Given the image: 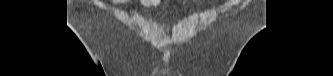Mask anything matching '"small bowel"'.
<instances>
[{
	"label": "small bowel",
	"instance_id": "small-bowel-1",
	"mask_svg": "<svg viewBox=\"0 0 333 76\" xmlns=\"http://www.w3.org/2000/svg\"><path fill=\"white\" fill-rule=\"evenodd\" d=\"M113 3H115V4H120V3H123L124 1L123 0H114V1H112ZM147 4H151V3H153V1H145Z\"/></svg>",
	"mask_w": 333,
	"mask_h": 76
}]
</instances>
